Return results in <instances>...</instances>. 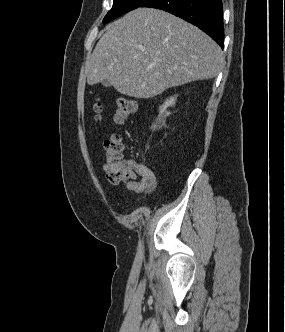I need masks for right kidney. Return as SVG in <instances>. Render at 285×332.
I'll return each instance as SVG.
<instances>
[{"label":"right kidney","instance_id":"ca27d5eb","mask_svg":"<svg viewBox=\"0 0 285 332\" xmlns=\"http://www.w3.org/2000/svg\"><path fill=\"white\" fill-rule=\"evenodd\" d=\"M175 100H176L175 97H171L170 99H167L165 101V103L162 106H160V115L165 114V117L168 116V115H170V112H167L166 109L169 106H172L175 103Z\"/></svg>","mask_w":285,"mask_h":332}]
</instances>
